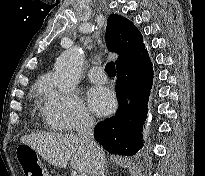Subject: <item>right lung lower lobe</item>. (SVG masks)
I'll return each instance as SVG.
<instances>
[{"mask_svg": "<svg viewBox=\"0 0 205 176\" xmlns=\"http://www.w3.org/2000/svg\"><path fill=\"white\" fill-rule=\"evenodd\" d=\"M153 83V67L147 51L117 68L116 114L98 123L94 138L113 154L133 155L142 148L141 133Z\"/></svg>", "mask_w": 205, "mask_h": 176, "instance_id": "right-lung-lower-lobe-1", "label": "right lung lower lobe"}]
</instances>
